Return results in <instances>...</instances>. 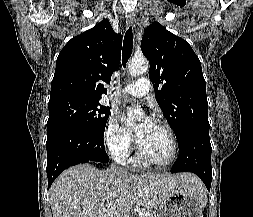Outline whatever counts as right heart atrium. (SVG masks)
I'll return each instance as SVG.
<instances>
[{
    "label": "right heart atrium",
    "mask_w": 253,
    "mask_h": 217,
    "mask_svg": "<svg viewBox=\"0 0 253 217\" xmlns=\"http://www.w3.org/2000/svg\"><path fill=\"white\" fill-rule=\"evenodd\" d=\"M105 142L114 158L122 161L130 154L133 136L119 123L116 116L111 115L105 131Z\"/></svg>",
    "instance_id": "obj_1"
}]
</instances>
